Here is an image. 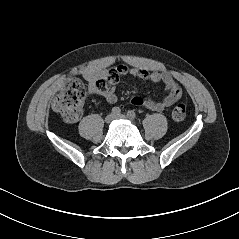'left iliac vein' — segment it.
Segmentation results:
<instances>
[{
    "label": "left iliac vein",
    "mask_w": 239,
    "mask_h": 239,
    "mask_svg": "<svg viewBox=\"0 0 239 239\" xmlns=\"http://www.w3.org/2000/svg\"><path fill=\"white\" fill-rule=\"evenodd\" d=\"M115 118L116 119H126V116L123 114H120V115H116Z\"/></svg>",
    "instance_id": "4c4485c4"
}]
</instances>
